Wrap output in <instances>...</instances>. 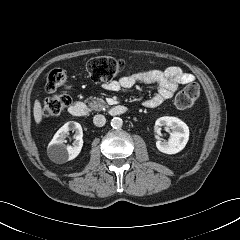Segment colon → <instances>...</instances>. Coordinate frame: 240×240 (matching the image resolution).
<instances>
[{"label": "colon", "mask_w": 240, "mask_h": 240, "mask_svg": "<svg viewBox=\"0 0 240 240\" xmlns=\"http://www.w3.org/2000/svg\"><path fill=\"white\" fill-rule=\"evenodd\" d=\"M128 68V64L123 60L112 57H97L91 59L87 64L89 76L95 82L109 83L117 75ZM70 83L66 73L61 69H55L50 72L46 80V90L55 92L63 90L64 92L48 98L42 109V114L46 118L58 116L70 103L68 90ZM200 90L197 84H188L176 97V106L181 110H188L193 107L199 98Z\"/></svg>", "instance_id": "5ec220e1"}]
</instances>
